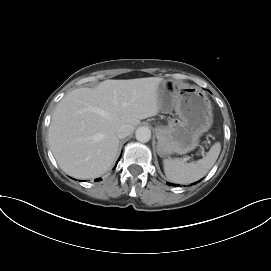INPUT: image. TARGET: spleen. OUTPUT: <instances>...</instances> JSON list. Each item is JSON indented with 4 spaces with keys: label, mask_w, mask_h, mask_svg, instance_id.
I'll return each instance as SVG.
<instances>
[{
    "label": "spleen",
    "mask_w": 271,
    "mask_h": 271,
    "mask_svg": "<svg viewBox=\"0 0 271 271\" xmlns=\"http://www.w3.org/2000/svg\"><path fill=\"white\" fill-rule=\"evenodd\" d=\"M221 151V144L216 142L207 155L191 163L181 159L163 160V168L168 180L178 184H189L203 178L215 164Z\"/></svg>",
    "instance_id": "obj_1"
}]
</instances>
